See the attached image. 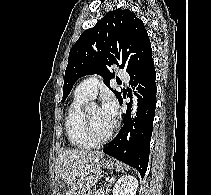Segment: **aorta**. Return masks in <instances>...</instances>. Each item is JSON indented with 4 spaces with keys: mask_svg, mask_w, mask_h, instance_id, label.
<instances>
[{
    "mask_svg": "<svg viewBox=\"0 0 211 195\" xmlns=\"http://www.w3.org/2000/svg\"><path fill=\"white\" fill-rule=\"evenodd\" d=\"M137 98L134 97V102H136ZM133 115H135V108H134V111H133Z\"/></svg>",
    "mask_w": 211,
    "mask_h": 195,
    "instance_id": "obj_1",
    "label": "aorta"
}]
</instances>
